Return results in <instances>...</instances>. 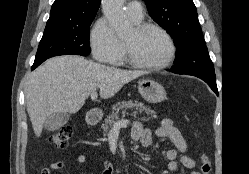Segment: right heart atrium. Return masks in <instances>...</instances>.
I'll use <instances>...</instances> for the list:
<instances>
[{"label": "right heart atrium", "instance_id": "obj_1", "mask_svg": "<svg viewBox=\"0 0 249 174\" xmlns=\"http://www.w3.org/2000/svg\"><path fill=\"white\" fill-rule=\"evenodd\" d=\"M90 46L94 58L102 63L114 64L123 56L122 42L104 17L99 18L91 29Z\"/></svg>", "mask_w": 249, "mask_h": 174}]
</instances>
